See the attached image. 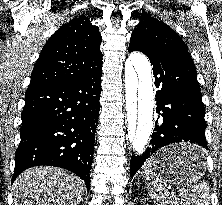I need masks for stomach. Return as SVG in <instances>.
Listing matches in <instances>:
<instances>
[{"instance_id":"1","label":"stomach","mask_w":222,"mask_h":205,"mask_svg":"<svg viewBox=\"0 0 222 205\" xmlns=\"http://www.w3.org/2000/svg\"><path fill=\"white\" fill-rule=\"evenodd\" d=\"M200 150V147L190 143H180L171 145L160 150L154 157L157 159L156 171L164 184H186L200 180L207 169L205 159L190 166L172 164L170 159L180 151Z\"/></svg>"}]
</instances>
